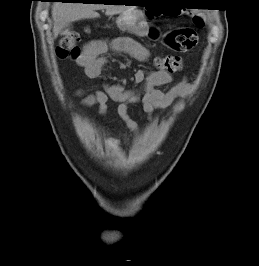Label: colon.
Instances as JSON below:
<instances>
[{"label": "colon", "mask_w": 259, "mask_h": 266, "mask_svg": "<svg viewBox=\"0 0 259 266\" xmlns=\"http://www.w3.org/2000/svg\"><path fill=\"white\" fill-rule=\"evenodd\" d=\"M159 14L157 11H151L150 16ZM164 15H170L163 12ZM193 22L196 27L201 28L204 25V20L198 15L193 16ZM153 35L157 32L153 31ZM80 40V33L76 30H70L60 39L57 47V55L60 58H79L80 51L77 43ZM166 45L172 50L180 53L188 52L194 49L198 44V35L194 29L182 27L170 31L164 39ZM154 66L159 71L168 73L177 72L182 68V59L179 55L159 56L154 59Z\"/></svg>", "instance_id": "5ec220e1"}]
</instances>
